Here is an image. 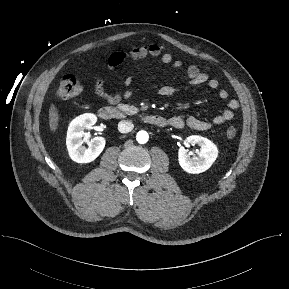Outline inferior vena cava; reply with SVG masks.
<instances>
[{"instance_id": "602c4592", "label": "inferior vena cava", "mask_w": 289, "mask_h": 289, "mask_svg": "<svg viewBox=\"0 0 289 289\" xmlns=\"http://www.w3.org/2000/svg\"><path fill=\"white\" fill-rule=\"evenodd\" d=\"M133 128H134V125L130 121L124 120V121H120L118 124V130L121 133H128V132L132 131Z\"/></svg>"}]
</instances>
